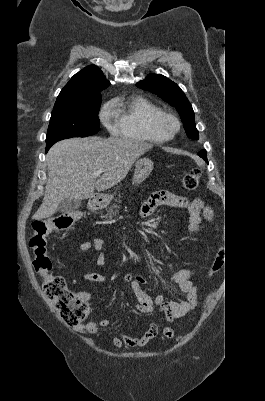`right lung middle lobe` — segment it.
<instances>
[{"mask_svg": "<svg viewBox=\"0 0 265 401\" xmlns=\"http://www.w3.org/2000/svg\"><path fill=\"white\" fill-rule=\"evenodd\" d=\"M101 97L71 101L54 106L48 127L46 146L71 137H87L100 130L98 111Z\"/></svg>", "mask_w": 265, "mask_h": 401, "instance_id": "dd1d6c3e", "label": "right lung middle lobe"}]
</instances>
